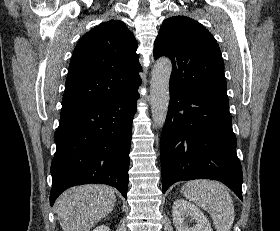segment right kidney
Masks as SVG:
<instances>
[{"mask_svg":"<svg viewBox=\"0 0 280 231\" xmlns=\"http://www.w3.org/2000/svg\"><path fill=\"white\" fill-rule=\"evenodd\" d=\"M93 231H110L108 225H98Z\"/></svg>","mask_w":280,"mask_h":231,"instance_id":"ca27d5eb","label":"right kidney"}]
</instances>
